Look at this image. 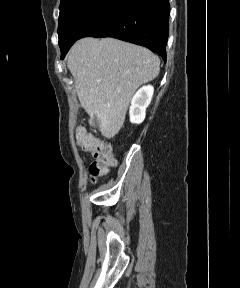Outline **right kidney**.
<instances>
[{"label":"right kidney","mask_w":240,"mask_h":288,"mask_svg":"<svg viewBox=\"0 0 240 288\" xmlns=\"http://www.w3.org/2000/svg\"><path fill=\"white\" fill-rule=\"evenodd\" d=\"M154 88L151 85L143 86L133 96L129 110L130 121L140 124L144 121L146 108L151 102Z\"/></svg>","instance_id":"right-kidney-1"}]
</instances>
